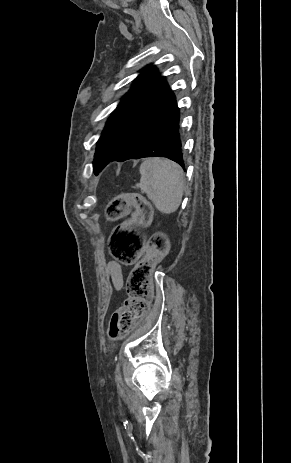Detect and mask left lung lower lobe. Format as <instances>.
<instances>
[{
	"label": "left lung lower lobe",
	"mask_w": 291,
	"mask_h": 463,
	"mask_svg": "<svg viewBox=\"0 0 291 463\" xmlns=\"http://www.w3.org/2000/svg\"><path fill=\"white\" fill-rule=\"evenodd\" d=\"M145 157H166L178 163L184 169L182 153V141L179 133V108L174 110L154 127L131 151L124 156L111 157L93 166L98 174L109 162H123L128 159H140Z\"/></svg>",
	"instance_id": "1"
}]
</instances>
